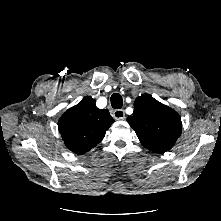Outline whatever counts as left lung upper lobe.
<instances>
[{"mask_svg": "<svg viewBox=\"0 0 221 221\" xmlns=\"http://www.w3.org/2000/svg\"><path fill=\"white\" fill-rule=\"evenodd\" d=\"M127 121L142 145L156 153L171 149L182 131L178 113L149 94L136 98L133 115Z\"/></svg>", "mask_w": 221, "mask_h": 221, "instance_id": "1", "label": "left lung upper lobe"}]
</instances>
